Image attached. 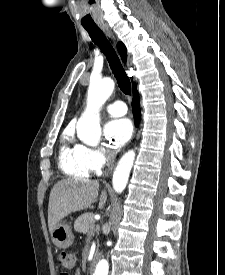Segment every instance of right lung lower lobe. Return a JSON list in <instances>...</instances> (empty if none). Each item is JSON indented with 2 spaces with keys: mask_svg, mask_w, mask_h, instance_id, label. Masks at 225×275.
<instances>
[{
  "mask_svg": "<svg viewBox=\"0 0 225 275\" xmlns=\"http://www.w3.org/2000/svg\"><path fill=\"white\" fill-rule=\"evenodd\" d=\"M132 111L135 118V125L137 126L140 121V104H139V95L136 90V86L133 87Z\"/></svg>",
  "mask_w": 225,
  "mask_h": 275,
  "instance_id": "obj_1",
  "label": "right lung lower lobe"
}]
</instances>
